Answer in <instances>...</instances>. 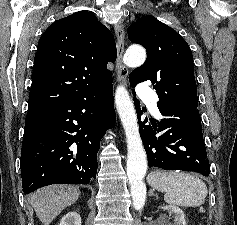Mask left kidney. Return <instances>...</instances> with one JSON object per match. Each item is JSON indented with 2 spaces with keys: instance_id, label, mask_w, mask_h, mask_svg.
I'll return each instance as SVG.
<instances>
[{
  "instance_id": "obj_1",
  "label": "left kidney",
  "mask_w": 237,
  "mask_h": 225,
  "mask_svg": "<svg viewBox=\"0 0 237 225\" xmlns=\"http://www.w3.org/2000/svg\"><path fill=\"white\" fill-rule=\"evenodd\" d=\"M164 209L169 210L174 215V225H186L184 212L179 207L167 205Z\"/></svg>"
}]
</instances>
